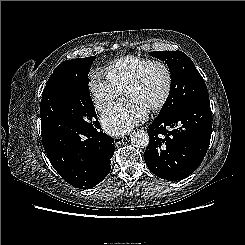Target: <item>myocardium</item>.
I'll use <instances>...</instances> for the list:
<instances>
[{
  "mask_svg": "<svg viewBox=\"0 0 245 245\" xmlns=\"http://www.w3.org/2000/svg\"><path fill=\"white\" fill-rule=\"evenodd\" d=\"M152 65H159L160 67H162L165 73V77H166L165 89H164V92L161 98L149 108L151 111H158L167 103L170 93H171V89H172V73H171V70L168 64L165 61L159 60V59L148 60L127 81V83L123 87V92L126 89L137 85L142 80L148 68Z\"/></svg>",
  "mask_w": 245,
  "mask_h": 245,
  "instance_id": "myocardium-1",
  "label": "myocardium"
}]
</instances>
